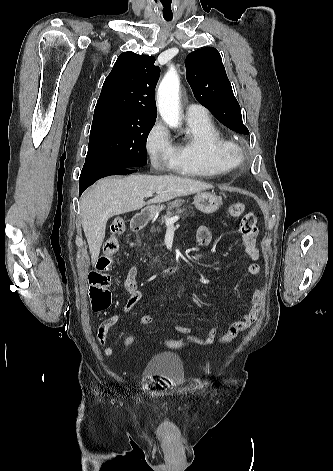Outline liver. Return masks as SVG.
I'll return each mask as SVG.
<instances>
[{
    "mask_svg": "<svg viewBox=\"0 0 333 471\" xmlns=\"http://www.w3.org/2000/svg\"><path fill=\"white\" fill-rule=\"evenodd\" d=\"M213 188L203 181L173 175H132L124 178L107 177L85 192L80 199L82 228L94 265L105 238L106 224L115 215L136 211L146 204L162 203ZM147 192L156 196L147 203Z\"/></svg>",
    "mask_w": 333,
    "mask_h": 471,
    "instance_id": "1",
    "label": "liver"
}]
</instances>
